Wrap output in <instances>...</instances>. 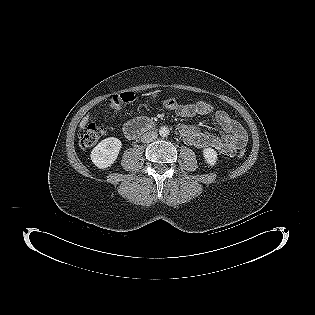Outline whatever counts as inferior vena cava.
Here are the masks:
<instances>
[{
    "label": "inferior vena cava",
    "instance_id": "602c4592",
    "mask_svg": "<svg viewBox=\"0 0 315 315\" xmlns=\"http://www.w3.org/2000/svg\"><path fill=\"white\" fill-rule=\"evenodd\" d=\"M157 137H158V134L156 132L150 131L143 134V136L141 137V141L143 143H150L154 141Z\"/></svg>",
    "mask_w": 315,
    "mask_h": 315
}]
</instances>
